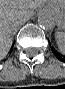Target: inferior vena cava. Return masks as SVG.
<instances>
[{"label":"inferior vena cava","instance_id":"inferior-vena-cava-1","mask_svg":"<svg viewBox=\"0 0 65 89\" xmlns=\"http://www.w3.org/2000/svg\"><path fill=\"white\" fill-rule=\"evenodd\" d=\"M25 20H27V19H26V18H23V19H21V20H19V21L15 22V23H14V26H15V25H17V24H18V23H20V22L25 21Z\"/></svg>","mask_w":65,"mask_h":89}]
</instances>
